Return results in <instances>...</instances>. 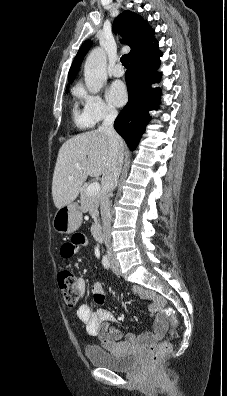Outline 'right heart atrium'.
I'll return each instance as SVG.
<instances>
[{
  "mask_svg": "<svg viewBox=\"0 0 227 396\" xmlns=\"http://www.w3.org/2000/svg\"><path fill=\"white\" fill-rule=\"evenodd\" d=\"M77 95L83 103L84 115L93 125L116 117L117 110L106 103L100 95L89 93L84 89H79Z\"/></svg>",
  "mask_w": 227,
  "mask_h": 396,
  "instance_id": "obj_1",
  "label": "right heart atrium"
}]
</instances>
